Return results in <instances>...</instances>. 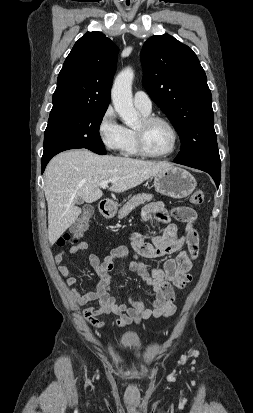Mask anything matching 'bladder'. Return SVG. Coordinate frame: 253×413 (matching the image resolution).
Segmentation results:
<instances>
[{
  "instance_id": "1",
  "label": "bladder",
  "mask_w": 253,
  "mask_h": 413,
  "mask_svg": "<svg viewBox=\"0 0 253 413\" xmlns=\"http://www.w3.org/2000/svg\"><path fill=\"white\" fill-rule=\"evenodd\" d=\"M120 349L124 352H139L142 345L136 341L126 340L120 345Z\"/></svg>"
}]
</instances>
